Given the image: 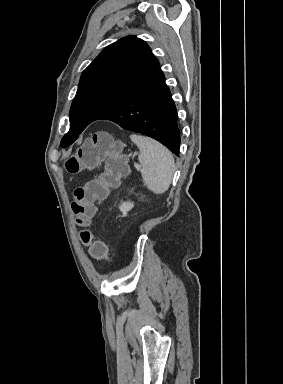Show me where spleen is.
Instances as JSON below:
<instances>
[{"label": "spleen", "instance_id": "spleen-1", "mask_svg": "<svg viewBox=\"0 0 283 384\" xmlns=\"http://www.w3.org/2000/svg\"><path fill=\"white\" fill-rule=\"evenodd\" d=\"M130 140L140 150L138 160L142 168L144 186L154 194H164L170 188L175 172V162L171 152L152 138L132 134Z\"/></svg>", "mask_w": 283, "mask_h": 384}]
</instances>
